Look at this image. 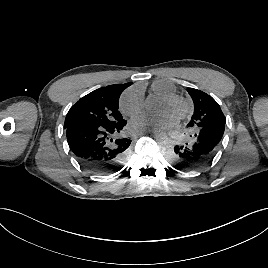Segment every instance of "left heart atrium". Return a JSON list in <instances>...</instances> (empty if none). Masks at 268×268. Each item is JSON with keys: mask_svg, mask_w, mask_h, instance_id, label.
<instances>
[{"mask_svg": "<svg viewBox=\"0 0 268 268\" xmlns=\"http://www.w3.org/2000/svg\"><path fill=\"white\" fill-rule=\"evenodd\" d=\"M160 123L165 127H172L177 123V116L170 113V112H164L159 117ZM146 119L142 116H136L132 120V127L135 129L143 128L146 125Z\"/></svg>", "mask_w": 268, "mask_h": 268, "instance_id": "obj_1", "label": "left heart atrium"}]
</instances>
